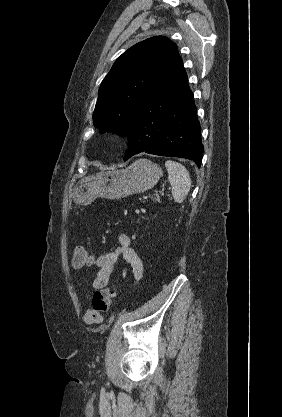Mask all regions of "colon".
<instances>
[{"label": "colon", "mask_w": 282, "mask_h": 417, "mask_svg": "<svg viewBox=\"0 0 282 417\" xmlns=\"http://www.w3.org/2000/svg\"><path fill=\"white\" fill-rule=\"evenodd\" d=\"M92 264V257L87 250L78 246L73 253V266L75 268H87ZM115 296V287L109 286L97 290L92 298V308L97 313H105L111 307V300Z\"/></svg>", "instance_id": "1"}]
</instances>
